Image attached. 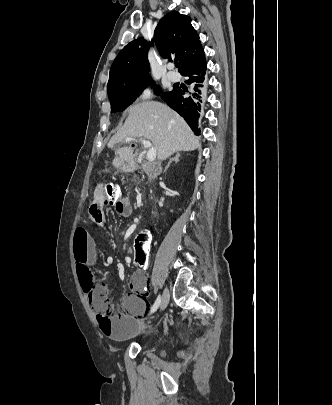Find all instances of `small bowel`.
<instances>
[{
    "instance_id": "1",
    "label": "small bowel",
    "mask_w": 332,
    "mask_h": 405,
    "mask_svg": "<svg viewBox=\"0 0 332 405\" xmlns=\"http://www.w3.org/2000/svg\"><path fill=\"white\" fill-rule=\"evenodd\" d=\"M121 166L124 170H134L136 162L133 157L127 156L121 158ZM99 190L95 192V198L88 208V217L98 224H104V207L106 202L105 185H99ZM117 202L114 203V210L122 217H129L133 212L132 199L122 194ZM99 217V218H98ZM137 222L134 221L133 226ZM129 253V252H128ZM96 245L86 229L78 227L74 233L73 255L75 268L78 276V288L80 292H95L96 277L92 272V265L96 260ZM126 264L132 263V258L127 254L124 256ZM114 260H108V265H114ZM147 279L142 270L137 271L129 281L131 293L123 301L126 313L110 316L108 311H97L95 314L96 326L100 327L102 333L113 340H123L139 333L142 327V316L148 310L146 298Z\"/></svg>"
}]
</instances>
